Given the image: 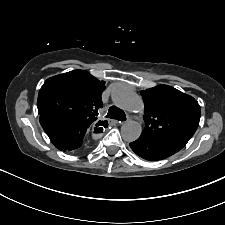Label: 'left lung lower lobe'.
Masks as SVG:
<instances>
[{"label":"left lung lower lobe","instance_id":"left-lung-lower-lobe-1","mask_svg":"<svg viewBox=\"0 0 225 225\" xmlns=\"http://www.w3.org/2000/svg\"><path fill=\"white\" fill-rule=\"evenodd\" d=\"M189 140L181 138H159L141 134L130 143L131 149L143 159L158 161L181 150Z\"/></svg>","mask_w":225,"mask_h":225}]
</instances>
